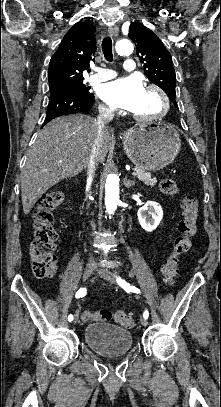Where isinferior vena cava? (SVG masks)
<instances>
[{
	"instance_id": "1",
	"label": "inferior vena cava",
	"mask_w": 221,
	"mask_h": 407,
	"mask_svg": "<svg viewBox=\"0 0 221 407\" xmlns=\"http://www.w3.org/2000/svg\"><path fill=\"white\" fill-rule=\"evenodd\" d=\"M99 115L95 121L97 134L92 147L91 155L87 164V182H92L95 176L96 167L100 161L102 139L104 133L108 130L107 124L114 118V110L106 105H99ZM92 258H90L91 260Z\"/></svg>"
}]
</instances>
